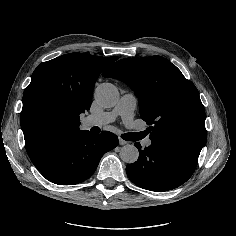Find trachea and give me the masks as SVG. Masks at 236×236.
Listing matches in <instances>:
<instances>
[{
	"instance_id": "3493384b",
	"label": "trachea",
	"mask_w": 236,
	"mask_h": 236,
	"mask_svg": "<svg viewBox=\"0 0 236 236\" xmlns=\"http://www.w3.org/2000/svg\"><path fill=\"white\" fill-rule=\"evenodd\" d=\"M135 133H126L122 135V138L127 141H133L132 138L134 137Z\"/></svg>"
}]
</instances>
